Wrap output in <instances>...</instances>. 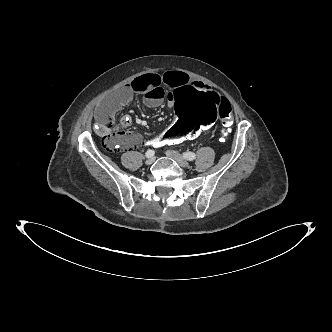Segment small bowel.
Here are the masks:
<instances>
[{
	"label": "small bowel",
	"instance_id": "obj_1",
	"mask_svg": "<svg viewBox=\"0 0 332 332\" xmlns=\"http://www.w3.org/2000/svg\"><path fill=\"white\" fill-rule=\"evenodd\" d=\"M188 82L203 84L197 80H192L187 74L175 70H169L162 74L148 73L135 78L98 104L95 111V120L100 127L99 131L103 132L105 117L131 100L135 93L143 94L145 104L149 107L156 108L159 107L165 99L169 100L175 89ZM130 125V118L123 117L121 119L120 126L122 128H127ZM210 131L211 129L202 136L208 135ZM119 134L122 138L123 145L127 148H132L142 142L141 136L133 132L122 131ZM156 139L158 140L159 138H155L154 140ZM154 140L152 139V141ZM152 141L150 140L148 143L153 145Z\"/></svg>",
	"mask_w": 332,
	"mask_h": 332
}]
</instances>
